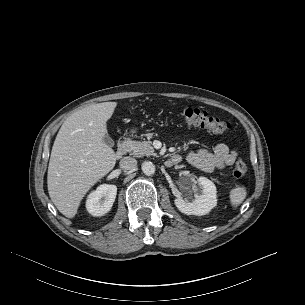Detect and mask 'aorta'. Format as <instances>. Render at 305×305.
I'll return each instance as SVG.
<instances>
[{"mask_svg": "<svg viewBox=\"0 0 305 305\" xmlns=\"http://www.w3.org/2000/svg\"><path fill=\"white\" fill-rule=\"evenodd\" d=\"M141 169L145 175H153L155 173V165L150 161H144Z\"/></svg>", "mask_w": 305, "mask_h": 305, "instance_id": "762f6f07", "label": "aorta"}]
</instances>
